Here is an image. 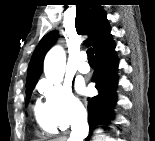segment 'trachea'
I'll list each match as a JSON object with an SVG mask.
<instances>
[{"label": "trachea", "mask_w": 155, "mask_h": 141, "mask_svg": "<svg viewBox=\"0 0 155 141\" xmlns=\"http://www.w3.org/2000/svg\"><path fill=\"white\" fill-rule=\"evenodd\" d=\"M87 56H88V62L89 63H95V57H94V53H93V49L89 48L87 50Z\"/></svg>", "instance_id": "trachea-1"}]
</instances>
